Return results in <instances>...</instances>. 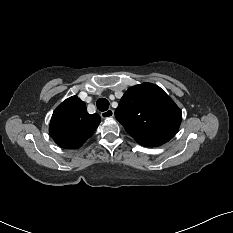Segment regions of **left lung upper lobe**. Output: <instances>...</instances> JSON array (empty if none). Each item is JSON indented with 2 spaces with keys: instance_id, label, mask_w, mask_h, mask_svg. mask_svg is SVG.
<instances>
[{
  "instance_id": "5c2ea615",
  "label": "left lung upper lobe",
  "mask_w": 233,
  "mask_h": 233,
  "mask_svg": "<svg viewBox=\"0 0 233 233\" xmlns=\"http://www.w3.org/2000/svg\"><path fill=\"white\" fill-rule=\"evenodd\" d=\"M116 119L140 145L160 146L177 132L182 113L157 85L143 83L129 88L115 111Z\"/></svg>"
}]
</instances>
